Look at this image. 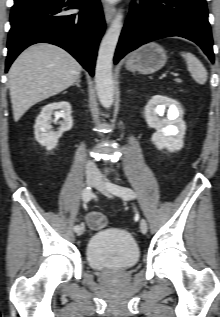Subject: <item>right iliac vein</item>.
<instances>
[{
    "label": "right iliac vein",
    "instance_id": "63e3f726",
    "mask_svg": "<svg viewBox=\"0 0 220 317\" xmlns=\"http://www.w3.org/2000/svg\"><path fill=\"white\" fill-rule=\"evenodd\" d=\"M96 180H97V175H95V174H87L86 175V183H87V185L93 186L95 184ZM83 232H84V225L82 224L80 226V229L77 231V234L78 235H82Z\"/></svg>",
    "mask_w": 220,
    "mask_h": 317
}]
</instances>
